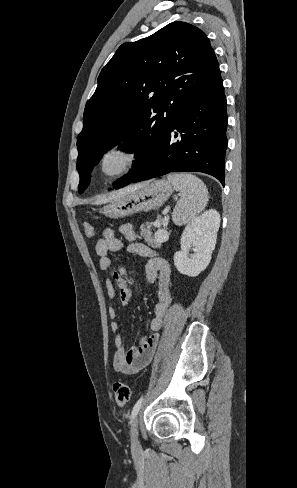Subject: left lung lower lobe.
Here are the masks:
<instances>
[{"instance_id":"1","label":"left lung lower lobe","mask_w":297,"mask_h":488,"mask_svg":"<svg viewBox=\"0 0 297 488\" xmlns=\"http://www.w3.org/2000/svg\"><path fill=\"white\" fill-rule=\"evenodd\" d=\"M226 97L221 76L181 113L152 159L125 185L169 172H203L224 186ZM123 186V187H124Z\"/></svg>"}]
</instances>
